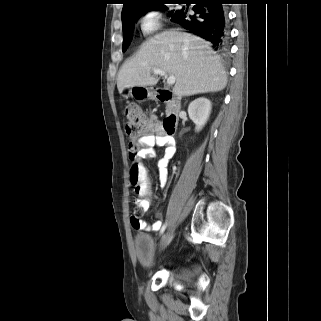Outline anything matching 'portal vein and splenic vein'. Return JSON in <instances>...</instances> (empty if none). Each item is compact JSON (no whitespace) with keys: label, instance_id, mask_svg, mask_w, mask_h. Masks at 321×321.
Here are the masks:
<instances>
[{"label":"portal vein and splenic vein","instance_id":"obj_1","mask_svg":"<svg viewBox=\"0 0 321 321\" xmlns=\"http://www.w3.org/2000/svg\"><path fill=\"white\" fill-rule=\"evenodd\" d=\"M153 74L164 76L167 79V85H169V86L174 85V83L176 81V79H175V77L173 75L172 76L171 75L167 76L166 72H164L161 69H154L153 70Z\"/></svg>","mask_w":321,"mask_h":321}]
</instances>
